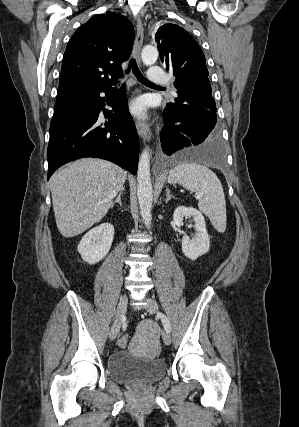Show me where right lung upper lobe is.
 I'll use <instances>...</instances> for the list:
<instances>
[{
  "label": "right lung upper lobe",
  "instance_id": "1",
  "mask_svg": "<svg viewBox=\"0 0 299 427\" xmlns=\"http://www.w3.org/2000/svg\"><path fill=\"white\" fill-rule=\"evenodd\" d=\"M133 41L131 22L113 12L95 15L80 26L64 53L57 102L114 85Z\"/></svg>",
  "mask_w": 299,
  "mask_h": 427
}]
</instances>
